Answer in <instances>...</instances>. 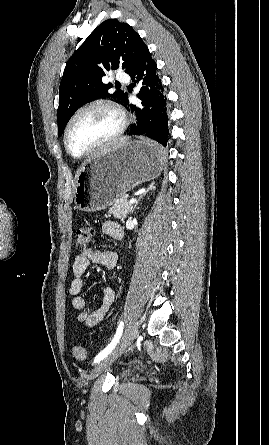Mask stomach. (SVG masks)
I'll return each mask as SVG.
<instances>
[{"label":"stomach","instance_id":"stomach-1","mask_svg":"<svg viewBox=\"0 0 269 445\" xmlns=\"http://www.w3.org/2000/svg\"><path fill=\"white\" fill-rule=\"evenodd\" d=\"M163 152L148 140L128 141L89 159L76 176L74 203L96 212L110 207L135 186L156 178L165 165Z\"/></svg>","mask_w":269,"mask_h":445}]
</instances>
